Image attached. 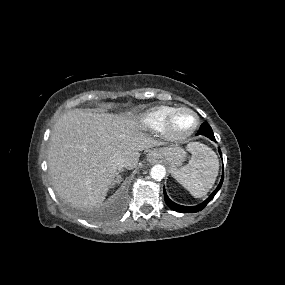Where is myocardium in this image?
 Instances as JSON below:
<instances>
[{
    "label": "myocardium",
    "mask_w": 285,
    "mask_h": 285,
    "mask_svg": "<svg viewBox=\"0 0 285 285\" xmlns=\"http://www.w3.org/2000/svg\"><path fill=\"white\" fill-rule=\"evenodd\" d=\"M185 114H188L193 118V123L189 128L181 130L176 126V121L179 117ZM198 126L199 117L193 110L189 108H178L174 109L171 115L168 117L164 126V131L168 138L176 141H181L194 134Z\"/></svg>",
    "instance_id": "f54148a6"
}]
</instances>
